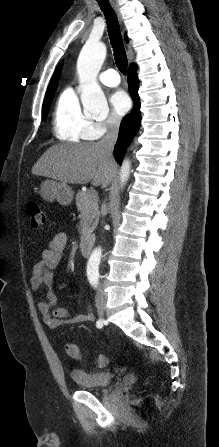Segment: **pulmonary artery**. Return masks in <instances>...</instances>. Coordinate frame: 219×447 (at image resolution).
<instances>
[{
    "instance_id": "e3ab8cb5",
    "label": "pulmonary artery",
    "mask_w": 219,
    "mask_h": 447,
    "mask_svg": "<svg viewBox=\"0 0 219 447\" xmlns=\"http://www.w3.org/2000/svg\"><path fill=\"white\" fill-rule=\"evenodd\" d=\"M100 82L106 86L114 87L120 83V76L114 69H108L100 75Z\"/></svg>"
}]
</instances>
